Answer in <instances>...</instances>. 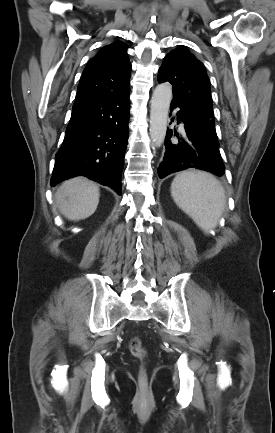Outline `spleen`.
<instances>
[{"label":"spleen","instance_id":"1","mask_svg":"<svg viewBox=\"0 0 275 433\" xmlns=\"http://www.w3.org/2000/svg\"><path fill=\"white\" fill-rule=\"evenodd\" d=\"M175 203L204 231L216 227L225 206V191L205 172L185 171L171 184Z\"/></svg>","mask_w":275,"mask_h":433}]
</instances>
